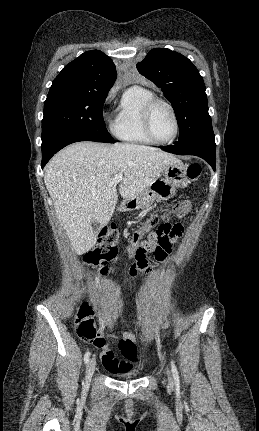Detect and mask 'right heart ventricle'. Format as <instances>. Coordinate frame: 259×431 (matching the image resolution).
<instances>
[{
	"label": "right heart ventricle",
	"mask_w": 259,
	"mask_h": 431,
	"mask_svg": "<svg viewBox=\"0 0 259 431\" xmlns=\"http://www.w3.org/2000/svg\"><path fill=\"white\" fill-rule=\"evenodd\" d=\"M154 97L152 91L139 86L130 87L124 92L113 125V132L118 139L136 145L153 144L144 131L142 112Z\"/></svg>",
	"instance_id": "1"
}]
</instances>
